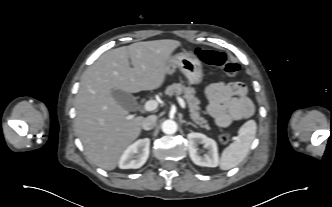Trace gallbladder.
<instances>
[{"label": "gallbladder", "instance_id": "gallbladder-1", "mask_svg": "<svg viewBox=\"0 0 332 207\" xmlns=\"http://www.w3.org/2000/svg\"><path fill=\"white\" fill-rule=\"evenodd\" d=\"M112 95L120 105L127 109H133L136 105V99L130 93L115 89L112 91Z\"/></svg>", "mask_w": 332, "mask_h": 207}]
</instances>
